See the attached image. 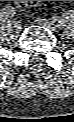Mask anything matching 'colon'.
<instances>
[{
    "instance_id": "1",
    "label": "colon",
    "mask_w": 74,
    "mask_h": 122,
    "mask_svg": "<svg viewBox=\"0 0 74 122\" xmlns=\"http://www.w3.org/2000/svg\"><path fill=\"white\" fill-rule=\"evenodd\" d=\"M22 2L28 6H36L40 4L42 1H22Z\"/></svg>"
}]
</instances>
